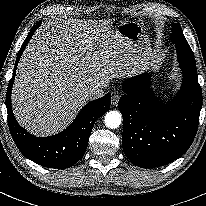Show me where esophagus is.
Listing matches in <instances>:
<instances>
[{
  "instance_id": "1",
  "label": "esophagus",
  "mask_w": 206,
  "mask_h": 206,
  "mask_svg": "<svg viewBox=\"0 0 206 206\" xmlns=\"http://www.w3.org/2000/svg\"><path fill=\"white\" fill-rule=\"evenodd\" d=\"M120 99V95L118 93H114L111 99L112 106H117Z\"/></svg>"
}]
</instances>
